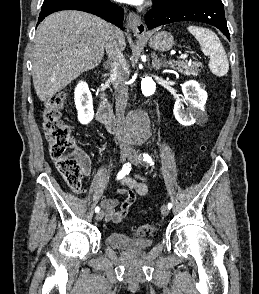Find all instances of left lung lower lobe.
I'll use <instances>...</instances> for the list:
<instances>
[{"label":"left lung lower lobe","mask_w":259,"mask_h":294,"mask_svg":"<svg viewBox=\"0 0 259 294\" xmlns=\"http://www.w3.org/2000/svg\"><path fill=\"white\" fill-rule=\"evenodd\" d=\"M178 21L213 25L230 39L221 0H184L170 5L165 0H154L153 9L145 15L148 29Z\"/></svg>","instance_id":"1"}]
</instances>
